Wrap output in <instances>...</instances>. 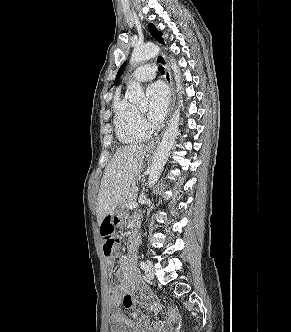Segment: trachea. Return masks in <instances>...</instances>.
<instances>
[{"mask_svg": "<svg viewBox=\"0 0 291 332\" xmlns=\"http://www.w3.org/2000/svg\"><path fill=\"white\" fill-rule=\"evenodd\" d=\"M158 69H159V72H160V73H162V74L165 73V71H164V67H161V66H160Z\"/></svg>", "mask_w": 291, "mask_h": 332, "instance_id": "1", "label": "trachea"}]
</instances>
